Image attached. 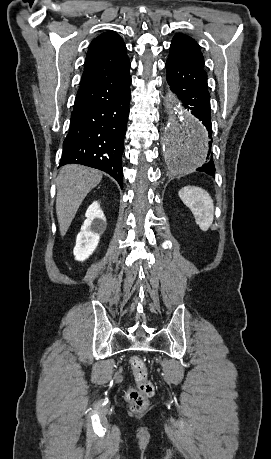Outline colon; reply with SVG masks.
<instances>
[{
    "mask_svg": "<svg viewBox=\"0 0 271 459\" xmlns=\"http://www.w3.org/2000/svg\"><path fill=\"white\" fill-rule=\"evenodd\" d=\"M130 367L136 381V387L126 392V400L134 410L146 407L148 399L154 394V385L148 378V369L144 361L138 356L130 358Z\"/></svg>",
    "mask_w": 271,
    "mask_h": 459,
    "instance_id": "colon-1",
    "label": "colon"
}]
</instances>
